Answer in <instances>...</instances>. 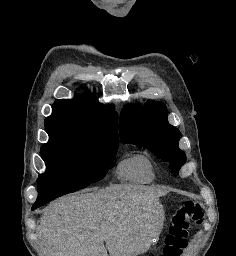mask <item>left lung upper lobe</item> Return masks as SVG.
<instances>
[{
    "instance_id": "1",
    "label": "left lung upper lobe",
    "mask_w": 236,
    "mask_h": 256,
    "mask_svg": "<svg viewBox=\"0 0 236 256\" xmlns=\"http://www.w3.org/2000/svg\"><path fill=\"white\" fill-rule=\"evenodd\" d=\"M167 108L161 102L149 101L127 105L120 118L122 143H131L151 150L157 157L170 162L172 174L185 163V153L179 149L180 132L167 121Z\"/></svg>"
}]
</instances>
